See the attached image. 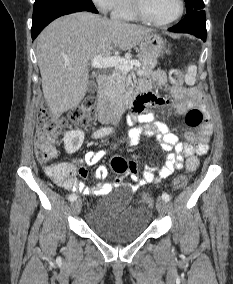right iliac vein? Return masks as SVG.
<instances>
[{
	"label": "right iliac vein",
	"instance_id": "63e3f726",
	"mask_svg": "<svg viewBox=\"0 0 233 284\" xmlns=\"http://www.w3.org/2000/svg\"><path fill=\"white\" fill-rule=\"evenodd\" d=\"M81 207H82V201L81 199H76L72 204H71V209H72V212L74 214H77L80 212L81 210Z\"/></svg>",
	"mask_w": 233,
	"mask_h": 284
}]
</instances>
